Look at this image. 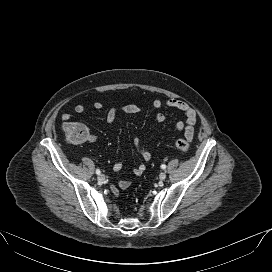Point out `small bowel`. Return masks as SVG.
Returning a JSON list of instances; mask_svg holds the SVG:
<instances>
[{
    "label": "small bowel",
    "mask_w": 272,
    "mask_h": 272,
    "mask_svg": "<svg viewBox=\"0 0 272 272\" xmlns=\"http://www.w3.org/2000/svg\"><path fill=\"white\" fill-rule=\"evenodd\" d=\"M152 105L156 109L167 107V108L176 109L180 111L181 113H183L184 116L186 117V120L185 122L178 121L175 124V129L178 132L183 133L184 136H186L187 133L190 132V139L191 141L193 140L194 134H195L194 126L197 122V112L194 108H192L185 102L181 100H177V99H170L167 101H164L162 99H155ZM93 107L97 110H100L103 108V103L100 101H95L93 103ZM74 110L76 113L81 114L85 112L86 108L83 104H77L75 105ZM138 112H140V107L136 104H125V105H121L117 107H112L107 111L106 122L108 124H112L119 113L136 114ZM61 118L66 123L67 121L70 120L71 114L63 113ZM164 121H165V115L162 113H158L155 117L156 124L163 123ZM96 139H97L96 135L91 134L89 135L88 141L90 143H93L96 141ZM134 146H135L136 152L144 161H149L151 159V153L142 145L141 140L139 138L134 139ZM122 167H123V164L121 162H116L113 165V171L118 172L122 169ZM144 171H145V165L143 163H140L132 170V173L135 176H141ZM130 184H131L130 181L124 180V179L119 180L117 182V186L119 189H127L130 186ZM118 188L114 186L111 188L112 192L116 196L119 194Z\"/></svg>",
    "instance_id": "c3829d8e"
}]
</instances>
